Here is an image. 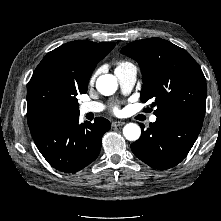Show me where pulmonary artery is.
<instances>
[{"mask_svg": "<svg viewBox=\"0 0 221 221\" xmlns=\"http://www.w3.org/2000/svg\"><path fill=\"white\" fill-rule=\"evenodd\" d=\"M115 75L119 81L122 92L127 94L134 87L137 79L136 67L128 63L125 66L115 70ZM104 109V105L100 102H86L80 105V112L82 114L99 113ZM150 122L154 123L157 120L156 115L150 117Z\"/></svg>", "mask_w": 221, "mask_h": 221, "instance_id": "pulmonary-artery-1", "label": "pulmonary artery"}]
</instances>
